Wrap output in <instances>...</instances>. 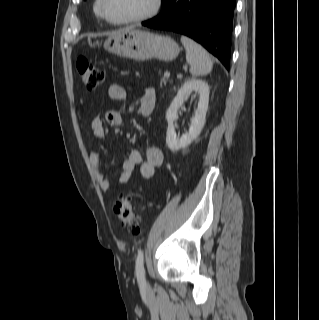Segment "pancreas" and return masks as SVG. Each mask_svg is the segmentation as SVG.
<instances>
[{
  "label": "pancreas",
  "mask_w": 319,
  "mask_h": 320,
  "mask_svg": "<svg viewBox=\"0 0 319 320\" xmlns=\"http://www.w3.org/2000/svg\"><path fill=\"white\" fill-rule=\"evenodd\" d=\"M167 81H168V78L167 77H162L161 78V80H160V85H162V84H166L167 83Z\"/></svg>",
  "instance_id": "1"
}]
</instances>
